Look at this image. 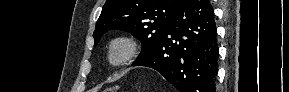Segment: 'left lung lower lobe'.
Returning <instances> with one entry per match:
<instances>
[{
    "label": "left lung lower lobe",
    "instance_id": "left-lung-lower-lobe-1",
    "mask_svg": "<svg viewBox=\"0 0 289 92\" xmlns=\"http://www.w3.org/2000/svg\"><path fill=\"white\" fill-rule=\"evenodd\" d=\"M217 30L209 0H184L150 55L133 66L161 73L180 92H215Z\"/></svg>",
    "mask_w": 289,
    "mask_h": 92
}]
</instances>
